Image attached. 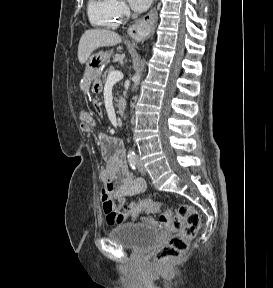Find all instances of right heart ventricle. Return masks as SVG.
I'll return each instance as SVG.
<instances>
[{
	"instance_id": "obj_1",
	"label": "right heart ventricle",
	"mask_w": 273,
	"mask_h": 288,
	"mask_svg": "<svg viewBox=\"0 0 273 288\" xmlns=\"http://www.w3.org/2000/svg\"><path fill=\"white\" fill-rule=\"evenodd\" d=\"M87 12L94 26L114 29L122 22V18L116 12L114 0H89Z\"/></svg>"
}]
</instances>
